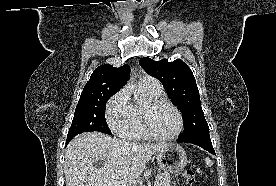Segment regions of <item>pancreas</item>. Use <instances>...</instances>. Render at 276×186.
<instances>
[{
	"mask_svg": "<svg viewBox=\"0 0 276 186\" xmlns=\"http://www.w3.org/2000/svg\"><path fill=\"white\" fill-rule=\"evenodd\" d=\"M156 181L158 182V186H170V174L159 172L156 176Z\"/></svg>",
	"mask_w": 276,
	"mask_h": 186,
	"instance_id": "pancreas-1",
	"label": "pancreas"
}]
</instances>
